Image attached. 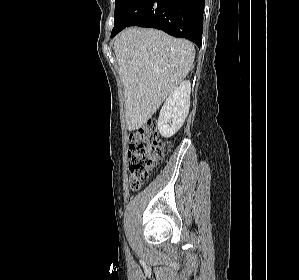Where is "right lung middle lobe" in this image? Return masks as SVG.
I'll list each match as a JSON object with an SVG mask.
<instances>
[{
  "instance_id": "dd1d6c3e",
  "label": "right lung middle lobe",
  "mask_w": 299,
  "mask_h": 280,
  "mask_svg": "<svg viewBox=\"0 0 299 280\" xmlns=\"http://www.w3.org/2000/svg\"><path fill=\"white\" fill-rule=\"evenodd\" d=\"M124 0H115V12H114V16H116L121 4L123 3Z\"/></svg>"
}]
</instances>
